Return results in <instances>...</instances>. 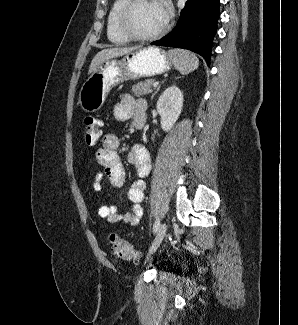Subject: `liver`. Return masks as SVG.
I'll return each instance as SVG.
<instances>
[{"mask_svg": "<svg viewBox=\"0 0 298 325\" xmlns=\"http://www.w3.org/2000/svg\"><path fill=\"white\" fill-rule=\"evenodd\" d=\"M141 46H114V48H102L99 52H96L93 56L87 74H92L97 70L99 64L109 60V58H117V56H123V54H128V52H133V50H139Z\"/></svg>", "mask_w": 298, "mask_h": 325, "instance_id": "1", "label": "liver"}]
</instances>
